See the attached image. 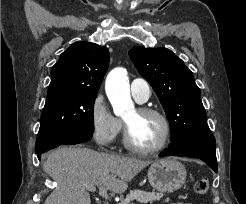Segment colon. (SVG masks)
<instances>
[{"label":"colon","instance_id":"5ec220e1","mask_svg":"<svg viewBox=\"0 0 246 204\" xmlns=\"http://www.w3.org/2000/svg\"><path fill=\"white\" fill-rule=\"evenodd\" d=\"M209 186L207 178H201L195 182L194 190L197 194H205Z\"/></svg>","mask_w":246,"mask_h":204}]
</instances>
